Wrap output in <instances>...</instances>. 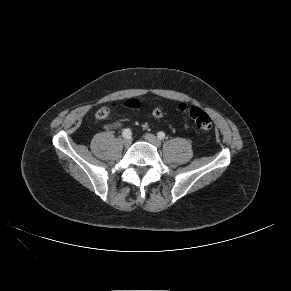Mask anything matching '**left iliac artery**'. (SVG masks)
Segmentation results:
<instances>
[{
    "label": "left iliac artery",
    "mask_w": 291,
    "mask_h": 291,
    "mask_svg": "<svg viewBox=\"0 0 291 291\" xmlns=\"http://www.w3.org/2000/svg\"><path fill=\"white\" fill-rule=\"evenodd\" d=\"M157 136L159 139H163L165 137V133L160 131V132H158Z\"/></svg>",
    "instance_id": "left-iliac-artery-1"
}]
</instances>
